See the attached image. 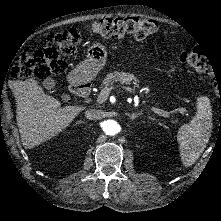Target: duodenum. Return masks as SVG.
I'll return each mask as SVG.
<instances>
[{
    "label": "duodenum",
    "instance_id": "obj_1",
    "mask_svg": "<svg viewBox=\"0 0 221 221\" xmlns=\"http://www.w3.org/2000/svg\"><path fill=\"white\" fill-rule=\"evenodd\" d=\"M70 86L72 92L78 97L85 98L90 93V84L83 72H77L72 76Z\"/></svg>",
    "mask_w": 221,
    "mask_h": 221
}]
</instances>
